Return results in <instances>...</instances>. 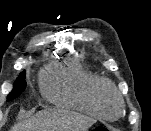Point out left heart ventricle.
<instances>
[{"mask_svg": "<svg viewBox=\"0 0 151 131\" xmlns=\"http://www.w3.org/2000/svg\"><path fill=\"white\" fill-rule=\"evenodd\" d=\"M107 109L109 111V113L114 114L117 110V104L116 101L114 99H109L107 102Z\"/></svg>", "mask_w": 151, "mask_h": 131, "instance_id": "b2bd125f", "label": "left heart ventricle"}]
</instances>
